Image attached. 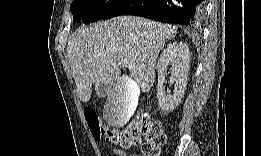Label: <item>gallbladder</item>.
<instances>
[{"label": "gallbladder", "instance_id": "bac80fb5", "mask_svg": "<svg viewBox=\"0 0 261 156\" xmlns=\"http://www.w3.org/2000/svg\"><path fill=\"white\" fill-rule=\"evenodd\" d=\"M116 83H118L114 86L116 89L109 93L105 101L103 116L109 125L122 127L138 108L140 87L135 80L128 78L127 75L121 76L119 80H116Z\"/></svg>", "mask_w": 261, "mask_h": 156}]
</instances>
